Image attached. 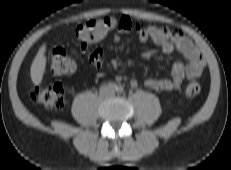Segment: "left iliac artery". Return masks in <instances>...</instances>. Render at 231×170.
I'll list each match as a JSON object with an SVG mask.
<instances>
[{"label": "left iliac artery", "mask_w": 231, "mask_h": 170, "mask_svg": "<svg viewBox=\"0 0 231 170\" xmlns=\"http://www.w3.org/2000/svg\"><path fill=\"white\" fill-rule=\"evenodd\" d=\"M116 91L121 93L124 91V87L122 85H118Z\"/></svg>", "instance_id": "left-iliac-artery-1"}]
</instances>
